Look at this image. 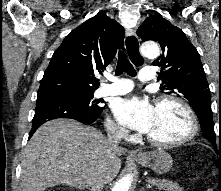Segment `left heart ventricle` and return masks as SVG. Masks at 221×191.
Segmentation results:
<instances>
[{"label": "left heart ventricle", "instance_id": "obj_1", "mask_svg": "<svg viewBox=\"0 0 221 191\" xmlns=\"http://www.w3.org/2000/svg\"><path fill=\"white\" fill-rule=\"evenodd\" d=\"M189 129L186 113L173 103H163L156 107L155 119L147 133L156 140L173 141L183 137Z\"/></svg>", "mask_w": 221, "mask_h": 191}]
</instances>
